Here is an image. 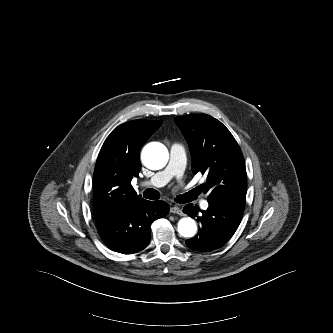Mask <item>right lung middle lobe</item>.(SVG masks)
Instances as JSON below:
<instances>
[{"label": "right lung middle lobe", "mask_w": 333, "mask_h": 333, "mask_svg": "<svg viewBox=\"0 0 333 333\" xmlns=\"http://www.w3.org/2000/svg\"><path fill=\"white\" fill-rule=\"evenodd\" d=\"M94 213L95 216H103V215H108L114 212H117L127 205L120 203V202H111V203H106V204H97L94 203Z\"/></svg>", "instance_id": "right-lung-middle-lobe-1"}]
</instances>
